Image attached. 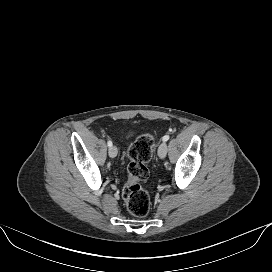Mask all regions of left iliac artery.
<instances>
[{
	"mask_svg": "<svg viewBox=\"0 0 272 272\" xmlns=\"http://www.w3.org/2000/svg\"><path fill=\"white\" fill-rule=\"evenodd\" d=\"M169 138H170L169 135H165V136H163L162 140L167 141V140H169Z\"/></svg>",
	"mask_w": 272,
	"mask_h": 272,
	"instance_id": "44dca946",
	"label": "left iliac artery"
}]
</instances>
